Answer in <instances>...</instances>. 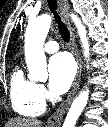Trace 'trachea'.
I'll return each instance as SVG.
<instances>
[{"label":"trachea","instance_id":"obj_1","mask_svg":"<svg viewBox=\"0 0 108 127\" xmlns=\"http://www.w3.org/2000/svg\"><path fill=\"white\" fill-rule=\"evenodd\" d=\"M48 6L54 15L55 22L58 24V29H59L61 37L63 38L65 42H68L70 39V33L67 27L65 26V24L61 21V18L57 13L56 0H48Z\"/></svg>","mask_w":108,"mask_h":127}]
</instances>
